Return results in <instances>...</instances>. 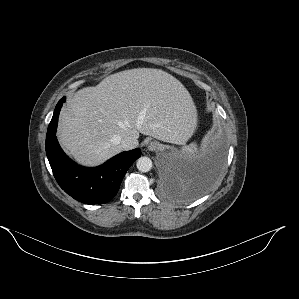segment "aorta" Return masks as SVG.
Returning <instances> with one entry per match:
<instances>
[{
	"mask_svg": "<svg viewBox=\"0 0 299 299\" xmlns=\"http://www.w3.org/2000/svg\"><path fill=\"white\" fill-rule=\"evenodd\" d=\"M152 165V160L145 156L140 157L136 163L137 169L141 172H149L152 168Z\"/></svg>",
	"mask_w": 299,
	"mask_h": 299,
	"instance_id": "1",
	"label": "aorta"
}]
</instances>
